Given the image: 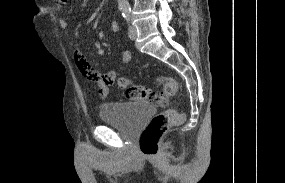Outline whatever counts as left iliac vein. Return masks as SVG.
Instances as JSON below:
<instances>
[{"mask_svg":"<svg viewBox=\"0 0 285 183\" xmlns=\"http://www.w3.org/2000/svg\"><path fill=\"white\" fill-rule=\"evenodd\" d=\"M136 37H137V30H136V28L133 27V26H130V27H129V38H130L131 40H135Z\"/></svg>","mask_w":285,"mask_h":183,"instance_id":"4c4485c4","label":"left iliac vein"}]
</instances>
